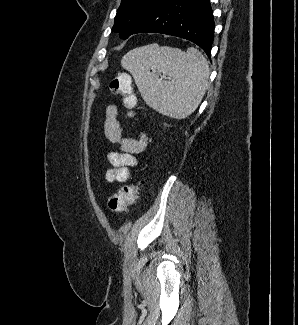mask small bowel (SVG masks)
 Masks as SVG:
<instances>
[{
	"label": "small bowel",
	"mask_w": 298,
	"mask_h": 325,
	"mask_svg": "<svg viewBox=\"0 0 298 325\" xmlns=\"http://www.w3.org/2000/svg\"><path fill=\"white\" fill-rule=\"evenodd\" d=\"M117 117V106L110 104L106 109L104 132L110 142L120 145L121 152H110L108 154L111 168L106 172V180L109 183L130 180V169L137 165L136 155L147 146L145 133H141L139 138L124 137Z\"/></svg>",
	"instance_id": "obj_1"
}]
</instances>
